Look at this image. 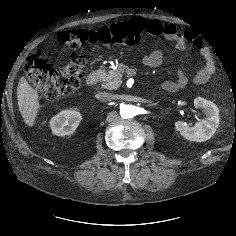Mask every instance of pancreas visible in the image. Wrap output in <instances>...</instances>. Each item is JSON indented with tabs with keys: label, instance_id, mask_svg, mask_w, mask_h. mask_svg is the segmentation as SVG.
<instances>
[{
	"label": "pancreas",
	"instance_id": "pancreas-1",
	"mask_svg": "<svg viewBox=\"0 0 236 236\" xmlns=\"http://www.w3.org/2000/svg\"><path fill=\"white\" fill-rule=\"evenodd\" d=\"M124 72H129L128 66L119 64L115 70L109 72H102L100 80L102 81V87L113 90L119 88L121 84V78ZM132 75L134 72L131 73Z\"/></svg>",
	"mask_w": 236,
	"mask_h": 236
}]
</instances>
